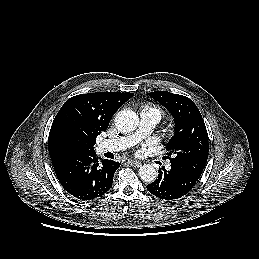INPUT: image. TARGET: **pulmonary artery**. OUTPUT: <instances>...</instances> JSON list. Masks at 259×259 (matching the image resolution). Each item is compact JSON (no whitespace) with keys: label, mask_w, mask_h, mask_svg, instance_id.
<instances>
[{"label":"pulmonary artery","mask_w":259,"mask_h":259,"mask_svg":"<svg viewBox=\"0 0 259 259\" xmlns=\"http://www.w3.org/2000/svg\"><path fill=\"white\" fill-rule=\"evenodd\" d=\"M159 120L160 117L155 112L143 110L140 114V124L136 132L126 136L104 140L99 144V150L101 152H114L132 147L149 135ZM167 167L169 168V164Z\"/></svg>","instance_id":"e3ab8cb5"}]
</instances>
